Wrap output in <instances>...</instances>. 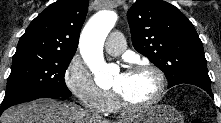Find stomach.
<instances>
[{"mask_svg": "<svg viewBox=\"0 0 221 123\" xmlns=\"http://www.w3.org/2000/svg\"><path fill=\"white\" fill-rule=\"evenodd\" d=\"M130 123H184L178 111L169 105L150 106L135 114Z\"/></svg>", "mask_w": 221, "mask_h": 123, "instance_id": "0dacf381", "label": "stomach"}]
</instances>
